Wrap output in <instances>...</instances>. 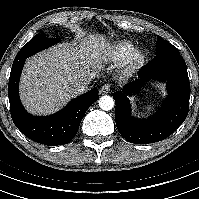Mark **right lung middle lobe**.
I'll list each match as a JSON object with an SVG mask.
<instances>
[{"label":"right lung middle lobe","mask_w":199,"mask_h":199,"mask_svg":"<svg viewBox=\"0 0 199 199\" xmlns=\"http://www.w3.org/2000/svg\"><path fill=\"white\" fill-rule=\"evenodd\" d=\"M59 42V39H49L43 37L41 34L34 36L22 49L18 52L14 62L16 60L26 59L36 52H39L52 44Z\"/></svg>","instance_id":"1"}]
</instances>
